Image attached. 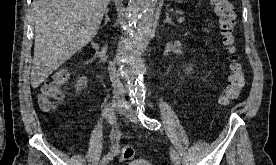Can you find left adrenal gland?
Listing matches in <instances>:
<instances>
[{"label": "left adrenal gland", "mask_w": 276, "mask_h": 165, "mask_svg": "<svg viewBox=\"0 0 276 165\" xmlns=\"http://www.w3.org/2000/svg\"><path fill=\"white\" fill-rule=\"evenodd\" d=\"M168 23L170 25H175L174 22H172L171 18L169 17V13H166V19L164 20V24Z\"/></svg>", "instance_id": "a2214340"}]
</instances>
